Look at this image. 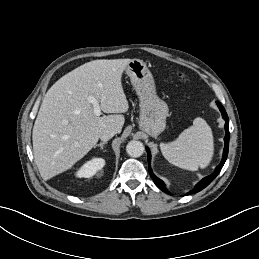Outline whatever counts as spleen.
Instances as JSON below:
<instances>
[{
	"label": "spleen",
	"instance_id": "3e777b00",
	"mask_svg": "<svg viewBox=\"0 0 259 259\" xmlns=\"http://www.w3.org/2000/svg\"><path fill=\"white\" fill-rule=\"evenodd\" d=\"M160 149L169 163L190 171L205 168L214 154L213 135L210 126L200 117L170 143H161Z\"/></svg>",
	"mask_w": 259,
	"mask_h": 259
}]
</instances>
